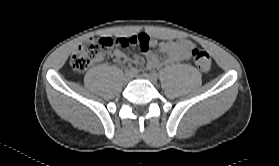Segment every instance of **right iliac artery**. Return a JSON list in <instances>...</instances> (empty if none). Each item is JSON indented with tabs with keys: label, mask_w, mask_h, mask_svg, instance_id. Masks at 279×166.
Here are the masks:
<instances>
[{
	"label": "right iliac artery",
	"mask_w": 279,
	"mask_h": 166,
	"mask_svg": "<svg viewBox=\"0 0 279 166\" xmlns=\"http://www.w3.org/2000/svg\"><path fill=\"white\" fill-rule=\"evenodd\" d=\"M127 72L131 73L132 75H135L138 73V70L133 67V68L129 69Z\"/></svg>",
	"instance_id": "1"
}]
</instances>
